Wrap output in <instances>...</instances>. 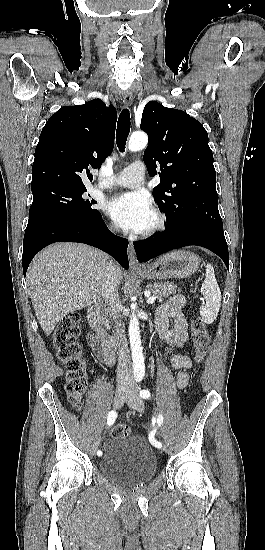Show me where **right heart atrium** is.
I'll use <instances>...</instances> for the list:
<instances>
[{"label":"right heart atrium","instance_id":"right-heart-atrium-1","mask_svg":"<svg viewBox=\"0 0 265 550\" xmlns=\"http://www.w3.org/2000/svg\"><path fill=\"white\" fill-rule=\"evenodd\" d=\"M108 228H109V230H110L111 232H113V233H116V232H117V229H116V227H115L114 225H111V224H110V225L108 226Z\"/></svg>","mask_w":265,"mask_h":550}]
</instances>
